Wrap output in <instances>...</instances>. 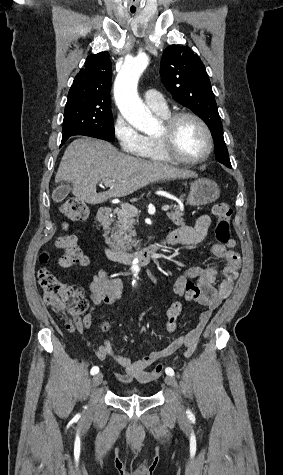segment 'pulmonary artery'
<instances>
[{"mask_svg":"<svg viewBox=\"0 0 283 475\" xmlns=\"http://www.w3.org/2000/svg\"><path fill=\"white\" fill-rule=\"evenodd\" d=\"M114 90H137V89H114ZM143 99L146 105L153 111H163L167 109L165 99L159 93L158 88L146 89L143 92Z\"/></svg>","mask_w":283,"mask_h":475,"instance_id":"1","label":"pulmonary artery"}]
</instances>
